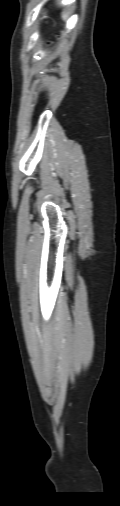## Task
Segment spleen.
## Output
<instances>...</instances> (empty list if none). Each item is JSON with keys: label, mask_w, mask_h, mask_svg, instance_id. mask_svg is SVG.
<instances>
[{"label": "spleen", "mask_w": 120, "mask_h": 506, "mask_svg": "<svg viewBox=\"0 0 120 506\" xmlns=\"http://www.w3.org/2000/svg\"><path fill=\"white\" fill-rule=\"evenodd\" d=\"M63 18L66 19V15H63Z\"/></svg>", "instance_id": "obj_1"}]
</instances>
